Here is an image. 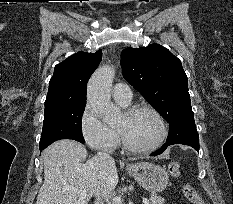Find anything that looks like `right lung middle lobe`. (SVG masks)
<instances>
[{
  "instance_id": "right-lung-middle-lobe-1",
  "label": "right lung middle lobe",
  "mask_w": 233,
  "mask_h": 204,
  "mask_svg": "<svg viewBox=\"0 0 233 204\" xmlns=\"http://www.w3.org/2000/svg\"><path fill=\"white\" fill-rule=\"evenodd\" d=\"M85 101L45 104L43 130L39 148H46L60 139H73L84 143L81 131Z\"/></svg>"
}]
</instances>
